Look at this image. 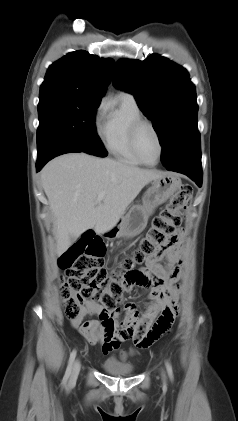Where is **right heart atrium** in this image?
<instances>
[{
	"mask_svg": "<svg viewBox=\"0 0 238 421\" xmlns=\"http://www.w3.org/2000/svg\"><path fill=\"white\" fill-rule=\"evenodd\" d=\"M106 108H107V102L105 99H103L98 104L95 110V114H94V122L98 128L102 126V120H103V116H104Z\"/></svg>",
	"mask_w": 238,
	"mask_h": 421,
	"instance_id": "right-heart-atrium-1",
	"label": "right heart atrium"
}]
</instances>
